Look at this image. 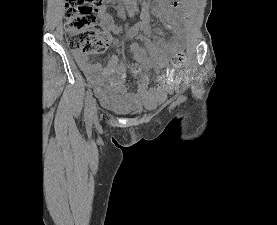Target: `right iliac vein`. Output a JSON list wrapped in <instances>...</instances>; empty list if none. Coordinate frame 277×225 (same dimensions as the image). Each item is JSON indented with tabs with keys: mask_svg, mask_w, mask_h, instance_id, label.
Wrapping results in <instances>:
<instances>
[{
	"mask_svg": "<svg viewBox=\"0 0 277 225\" xmlns=\"http://www.w3.org/2000/svg\"><path fill=\"white\" fill-rule=\"evenodd\" d=\"M96 114H97V109H96L95 100H92V104H91V119H95L96 118Z\"/></svg>",
	"mask_w": 277,
	"mask_h": 225,
	"instance_id": "right-iliac-vein-1",
	"label": "right iliac vein"
}]
</instances>
